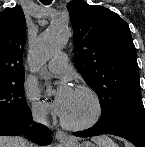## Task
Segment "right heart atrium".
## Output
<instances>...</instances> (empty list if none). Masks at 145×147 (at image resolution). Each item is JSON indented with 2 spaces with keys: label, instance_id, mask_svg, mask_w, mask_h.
I'll list each match as a JSON object with an SVG mask.
<instances>
[{
  "label": "right heart atrium",
  "instance_id": "right-heart-atrium-1",
  "mask_svg": "<svg viewBox=\"0 0 145 147\" xmlns=\"http://www.w3.org/2000/svg\"><path fill=\"white\" fill-rule=\"evenodd\" d=\"M25 96L32 119L35 122L44 123L48 118V108L46 104L39 99L38 92L28 87L25 89Z\"/></svg>",
  "mask_w": 145,
  "mask_h": 147
}]
</instances>
